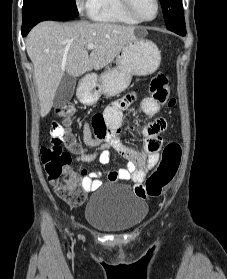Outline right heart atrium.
Wrapping results in <instances>:
<instances>
[{
	"label": "right heart atrium",
	"instance_id": "d8ad5b80",
	"mask_svg": "<svg viewBox=\"0 0 227 279\" xmlns=\"http://www.w3.org/2000/svg\"><path fill=\"white\" fill-rule=\"evenodd\" d=\"M80 9L89 10L91 8L92 0H76Z\"/></svg>",
	"mask_w": 227,
	"mask_h": 279
}]
</instances>
